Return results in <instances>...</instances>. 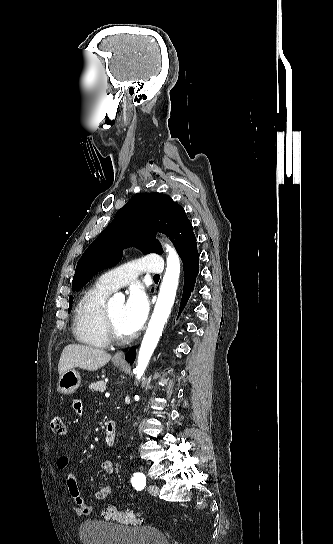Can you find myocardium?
<instances>
[{
    "mask_svg": "<svg viewBox=\"0 0 333 544\" xmlns=\"http://www.w3.org/2000/svg\"><path fill=\"white\" fill-rule=\"evenodd\" d=\"M104 321H105L106 332H107L109 340L113 342H117V343H125L131 339L130 335H123L118 331V329L115 326V323L113 322L111 318L108 307H106L104 311Z\"/></svg>",
    "mask_w": 333,
    "mask_h": 544,
    "instance_id": "myocardium-1",
    "label": "myocardium"
}]
</instances>
